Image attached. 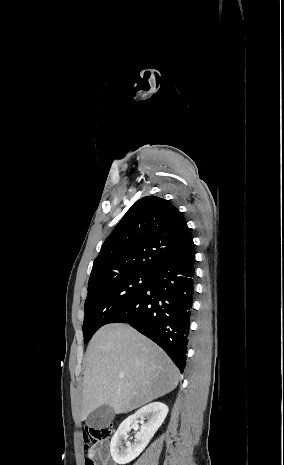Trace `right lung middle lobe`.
<instances>
[{"label": "right lung middle lobe", "mask_w": 284, "mask_h": 465, "mask_svg": "<svg viewBox=\"0 0 284 465\" xmlns=\"http://www.w3.org/2000/svg\"><path fill=\"white\" fill-rule=\"evenodd\" d=\"M152 275L127 274L88 288L83 323L84 343L124 309L148 284Z\"/></svg>", "instance_id": "dd1d6c3e"}]
</instances>
